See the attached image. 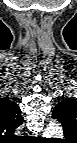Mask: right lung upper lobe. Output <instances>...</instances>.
Listing matches in <instances>:
<instances>
[{"label": "right lung upper lobe", "mask_w": 77, "mask_h": 143, "mask_svg": "<svg viewBox=\"0 0 77 143\" xmlns=\"http://www.w3.org/2000/svg\"><path fill=\"white\" fill-rule=\"evenodd\" d=\"M23 122L21 110L14 102L0 99V130L2 134H13Z\"/></svg>", "instance_id": "obj_1"}]
</instances>
